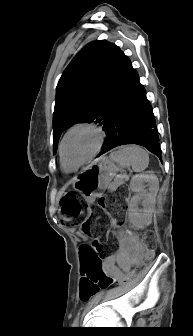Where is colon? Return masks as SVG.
Segmentation results:
<instances>
[{
    "mask_svg": "<svg viewBox=\"0 0 193 336\" xmlns=\"http://www.w3.org/2000/svg\"><path fill=\"white\" fill-rule=\"evenodd\" d=\"M60 204L67 226L80 225L84 235L94 237L91 246L81 252L82 269L87 275V284L97 290L105 289L113 283L130 282L134 276L114 278L105 273L102 264L107 254L117 247V238L109 232L108 227L116 221V217L124 214V205L115 199L109 201L105 197H100L95 205L89 207L71 192L62 197ZM82 217H84L83 220H81ZM143 243L146 257H153L157 247L154 233H145Z\"/></svg>",
    "mask_w": 193,
    "mask_h": 336,
    "instance_id": "obj_1",
    "label": "colon"
}]
</instances>
